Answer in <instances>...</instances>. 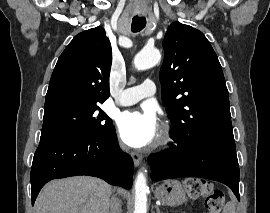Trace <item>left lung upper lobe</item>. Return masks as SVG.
Here are the masks:
<instances>
[{"mask_svg": "<svg viewBox=\"0 0 270 213\" xmlns=\"http://www.w3.org/2000/svg\"><path fill=\"white\" fill-rule=\"evenodd\" d=\"M162 101L174 136H233L229 95L218 57L203 33L174 22L163 40Z\"/></svg>", "mask_w": 270, "mask_h": 213, "instance_id": "5c2ea615", "label": "left lung upper lobe"}]
</instances>
